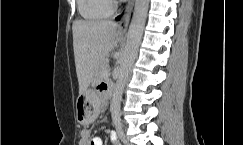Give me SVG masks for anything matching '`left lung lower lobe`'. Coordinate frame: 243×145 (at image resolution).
<instances>
[{
  "mask_svg": "<svg viewBox=\"0 0 243 145\" xmlns=\"http://www.w3.org/2000/svg\"><path fill=\"white\" fill-rule=\"evenodd\" d=\"M116 19L119 20L120 19V16H118Z\"/></svg>",
  "mask_w": 243,
  "mask_h": 145,
  "instance_id": "left-lung-lower-lobe-1",
  "label": "left lung lower lobe"
}]
</instances>
